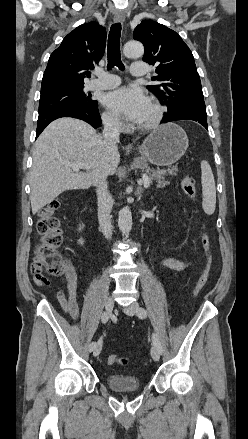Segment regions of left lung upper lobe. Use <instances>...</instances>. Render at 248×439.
I'll list each match as a JSON object with an SVG mask.
<instances>
[{"mask_svg":"<svg viewBox=\"0 0 248 439\" xmlns=\"http://www.w3.org/2000/svg\"><path fill=\"white\" fill-rule=\"evenodd\" d=\"M133 38L143 43V61L156 66L157 85L147 89L163 101L168 113L179 108L206 110L200 77L191 50L175 31L153 20H143Z\"/></svg>","mask_w":248,"mask_h":439,"instance_id":"1","label":"left lung upper lobe"}]
</instances>
